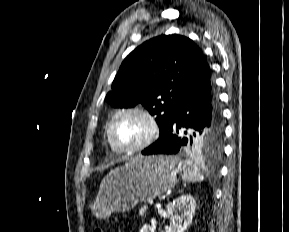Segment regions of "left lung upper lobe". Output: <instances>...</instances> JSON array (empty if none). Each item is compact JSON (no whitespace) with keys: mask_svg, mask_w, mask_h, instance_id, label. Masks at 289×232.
I'll use <instances>...</instances> for the list:
<instances>
[{"mask_svg":"<svg viewBox=\"0 0 289 232\" xmlns=\"http://www.w3.org/2000/svg\"><path fill=\"white\" fill-rule=\"evenodd\" d=\"M206 64L199 47L180 35H161L133 50L122 62L106 100L113 107L138 104L156 115L159 138L166 132L178 100ZM223 125L215 132L195 136L187 152L220 153Z\"/></svg>","mask_w":289,"mask_h":232,"instance_id":"obj_1","label":"left lung upper lobe"}]
</instances>
